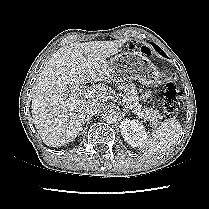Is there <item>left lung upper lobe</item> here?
I'll return each instance as SVG.
<instances>
[{
    "label": "left lung upper lobe",
    "mask_w": 209,
    "mask_h": 209,
    "mask_svg": "<svg viewBox=\"0 0 209 209\" xmlns=\"http://www.w3.org/2000/svg\"><path fill=\"white\" fill-rule=\"evenodd\" d=\"M152 45L159 54L163 55L164 57L166 56V54L156 44L152 43Z\"/></svg>",
    "instance_id": "obj_1"
}]
</instances>
